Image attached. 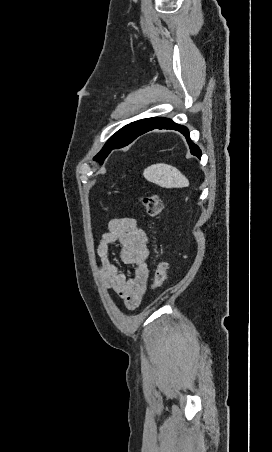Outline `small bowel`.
Masks as SVG:
<instances>
[{"instance_id":"1","label":"small bowel","mask_w":272,"mask_h":452,"mask_svg":"<svg viewBox=\"0 0 272 452\" xmlns=\"http://www.w3.org/2000/svg\"><path fill=\"white\" fill-rule=\"evenodd\" d=\"M115 244L121 247L122 263L133 267L129 279L111 260V247ZM149 253L148 237L137 220L131 217L112 219L98 244L100 281L106 289L113 290L129 310L138 307L145 296Z\"/></svg>"}]
</instances>
